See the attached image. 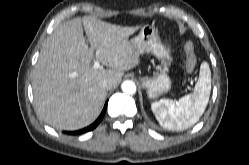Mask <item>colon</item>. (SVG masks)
<instances>
[{
	"instance_id": "colon-1",
	"label": "colon",
	"mask_w": 249,
	"mask_h": 165,
	"mask_svg": "<svg viewBox=\"0 0 249 165\" xmlns=\"http://www.w3.org/2000/svg\"><path fill=\"white\" fill-rule=\"evenodd\" d=\"M184 50L186 54V68L191 72L194 70L197 62L193 43L190 41L187 42L184 46Z\"/></svg>"
}]
</instances>
